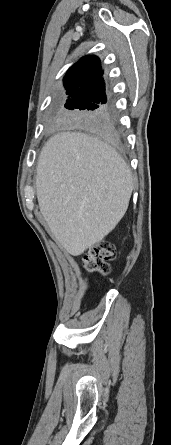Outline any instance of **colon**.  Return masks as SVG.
<instances>
[{"label":"colon","mask_w":171,"mask_h":445,"mask_svg":"<svg viewBox=\"0 0 171 445\" xmlns=\"http://www.w3.org/2000/svg\"><path fill=\"white\" fill-rule=\"evenodd\" d=\"M115 256V247L108 242H101L84 252L83 264L88 271L105 272L107 261Z\"/></svg>","instance_id":"colon-1"}]
</instances>
